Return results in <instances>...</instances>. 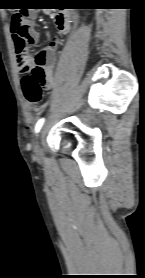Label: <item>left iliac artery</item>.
Segmentation results:
<instances>
[{"label":"left iliac artery","mask_w":145,"mask_h":278,"mask_svg":"<svg viewBox=\"0 0 145 278\" xmlns=\"http://www.w3.org/2000/svg\"><path fill=\"white\" fill-rule=\"evenodd\" d=\"M45 119L44 118H41L37 123H36V126H35V133H38L44 123Z\"/></svg>","instance_id":"left-iliac-artery-1"}]
</instances>
